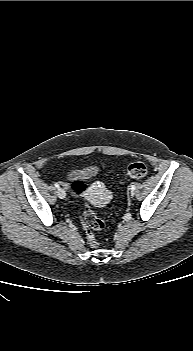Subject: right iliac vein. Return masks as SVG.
<instances>
[{
    "label": "right iliac vein",
    "mask_w": 193,
    "mask_h": 351,
    "mask_svg": "<svg viewBox=\"0 0 193 351\" xmlns=\"http://www.w3.org/2000/svg\"><path fill=\"white\" fill-rule=\"evenodd\" d=\"M57 194L60 199H64L66 197V193L62 188H58Z\"/></svg>",
    "instance_id": "obj_1"
}]
</instances>
